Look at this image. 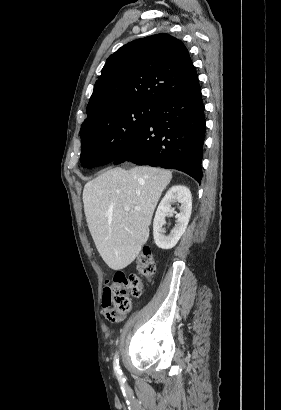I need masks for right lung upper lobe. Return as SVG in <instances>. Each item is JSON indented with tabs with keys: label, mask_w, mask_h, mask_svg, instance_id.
<instances>
[{
	"label": "right lung upper lobe",
	"mask_w": 281,
	"mask_h": 410,
	"mask_svg": "<svg viewBox=\"0 0 281 410\" xmlns=\"http://www.w3.org/2000/svg\"><path fill=\"white\" fill-rule=\"evenodd\" d=\"M197 84L195 67L179 39L166 33L137 39L107 59L87 105L85 121L113 108L154 107Z\"/></svg>",
	"instance_id": "1"
}]
</instances>
